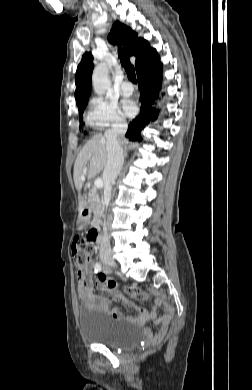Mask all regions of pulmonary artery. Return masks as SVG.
I'll return each mask as SVG.
<instances>
[{"label": "pulmonary artery", "mask_w": 252, "mask_h": 390, "mask_svg": "<svg viewBox=\"0 0 252 390\" xmlns=\"http://www.w3.org/2000/svg\"><path fill=\"white\" fill-rule=\"evenodd\" d=\"M121 92L124 96H130L133 93V85L130 82H123Z\"/></svg>", "instance_id": "1"}]
</instances>
